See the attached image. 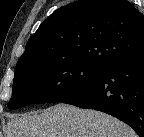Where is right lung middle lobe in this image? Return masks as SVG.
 <instances>
[{
  "label": "right lung middle lobe",
  "instance_id": "obj_1",
  "mask_svg": "<svg viewBox=\"0 0 144 137\" xmlns=\"http://www.w3.org/2000/svg\"><path fill=\"white\" fill-rule=\"evenodd\" d=\"M106 68L67 59L16 67L8 108L63 101L101 77Z\"/></svg>",
  "mask_w": 144,
  "mask_h": 137
}]
</instances>
